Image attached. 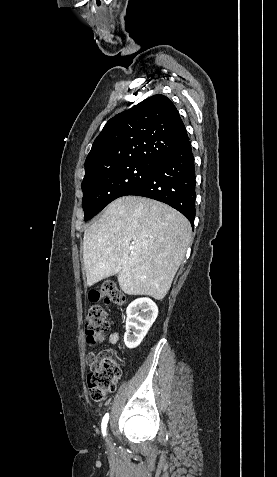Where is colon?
<instances>
[{
  "label": "colon",
  "instance_id": "obj_1",
  "mask_svg": "<svg viewBox=\"0 0 277 477\" xmlns=\"http://www.w3.org/2000/svg\"><path fill=\"white\" fill-rule=\"evenodd\" d=\"M123 305L125 297L113 282H106L99 291L89 295L90 306L86 312L85 334L89 343H97L105 337L108 329L107 312L100 304ZM121 377L119 361L114 355H107L90 365L87 376L89 394L92 400L102 401L113 391Z\"/></svg>",
  "mask_w": 277,
  "mask_h": 477
}]
</instances>
